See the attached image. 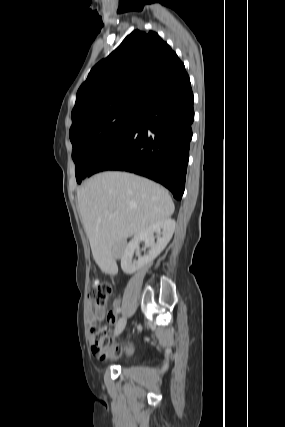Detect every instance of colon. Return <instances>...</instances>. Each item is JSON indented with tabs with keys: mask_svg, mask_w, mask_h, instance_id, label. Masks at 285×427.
Here are the masks:
<instances>
[{
	"mask_svg": "<svg viewBox=\"0 0 285 427\" xmlns=\"http://www.w3.org/2000/svg\"><path fill=\"white\" fill-rule=\"evenodd\" d=\"M111 291V287L106 282L92 281L88 289V297L97 304H102ZM92 340L93 351L98 353L102 358L111 356V337L107 327L92 326L89 331Z\"/></svg>",
	"mask_w": 285,
	"mask_h": 427,
	"instance_id": "colon-1",
	"label": "colon"
}]
</instances>
